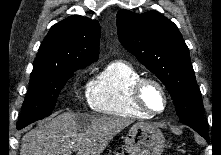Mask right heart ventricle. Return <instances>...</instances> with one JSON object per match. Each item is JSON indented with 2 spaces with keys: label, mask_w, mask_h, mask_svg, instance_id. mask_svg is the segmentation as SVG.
I'll return each mask as SVG.
<instances>
[{
  "label": "right heart ventricle",
  "mask_w": 221,
  "mask_h": 155,
  "mask_svg": "<svg viewBox=\"0 0 221 155\" xmlns=\"http://www.w3.org/2000/svg\"><path fill=\"white\" fill-rule=\"evenodd\" d=\"M141 78L130 63L117 60L106 65L90 82L87 100L98 113L129 118H148L133 103L131 92Z\"/></svg>",
  "instance_id": "right-heart-ventricle-1"
}]
</instances>
